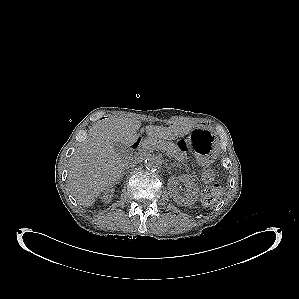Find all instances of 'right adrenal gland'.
<instances>
[{"label":"right adrenal gland","mask_w":299,"mask_h":299,"mask_svg":"<svg viewBox=\"0 0 299 299\" xmlns=\"http://www.w3.org/2000/svg\"><path fill=\"white\" fill-rule=\"evenodd\" d=\"M124 174H125V172L123 171L120 178H122L124 176Z\"/></svg>","instance_id":"right-adrenal-gland-1"}]
</instances>
